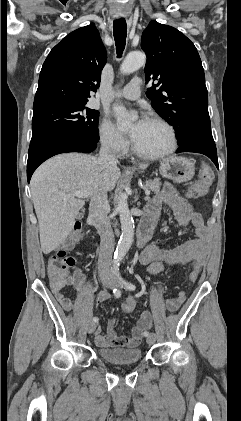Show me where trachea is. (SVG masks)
Returning a JSON list of instances; mask_svg holds the SVG:
<instances>
[{"label": "trachea", "instance_id": "1", "mask_svg": "<svg viewBox=\"0 0 241 421\" xmlns=\"http://www.w3.org/2000/svg\"><path fill=\"white\" fill-rule=\"evenodd\" d=\"M114 40L117 50V56L120 58L125 48L127 36V24L124 19L115 20L113 22Z\"/></svg>", "mask_w": 241, "mask_h": 421}]
</instances>
